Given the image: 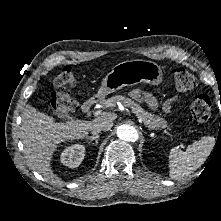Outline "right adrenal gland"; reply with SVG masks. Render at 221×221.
Returning <instances> with one entry per match:
<instances>
[{
	"label": "right adrenal gland",
	"instance_id": "right-adrenal-gland-1",
	"mask_svg": "<svg viewBox=\"0 0 221 221\" xmlns=\"http://www.w3.org/2000/svg\"><path fill=\"white\" fill-rule=\"evenodd\" d=\"M87 141H93L95 140V146H97L98 144V140H99V134L93 135V136H87Z\"/></svg>",
	"mask_w": 221,
	"mask_h": 221
}]
</instances>
